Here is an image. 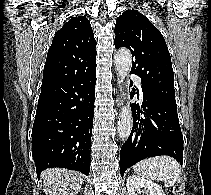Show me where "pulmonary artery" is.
Wrapping results in <instances>:
<instances>
[{
    "mask_svg": "<svg viewBox=\"0 0 211 195\" xmlns=\"http://www.w3.org/2000/svg\"><path fill=\"white\" fill-rule=\"evenodd\" d=\"M133 78H134V80H135L137 86H138L139 89L141 90V86H142L141 80H140L138 77H136V76H133Z\"/></svg>",
    "mask_w": 211,
    "mask_h": 195,
    "instance_id": "1",
    "label": "pulmonary artery"
}]
</instances>
